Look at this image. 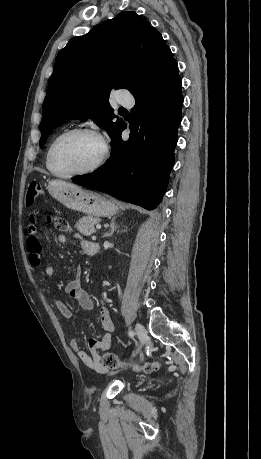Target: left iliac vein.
<instances>
[{
	"label": "left iliac vein",
	"mask_w": 261,
	"mask_h": 459,
	"mask_svg": "<svg viewBox=\"0 0 261 459\" xmlns=\"http://www.w3.org/2000/svg\"><path fill=\"white\" fill-rule=\"evenodd\" d=\"M135 331H136V333L138 335L140 346L138 347V349L134 353V355L137 354L140 351V349L142 348V346L145 344V342L147 340V333H146V330H145V328H144V326L142 324L136 323Z\"/></svg>",
	"instance_id": "left-iliac-vein-1"
}]
</instances>
